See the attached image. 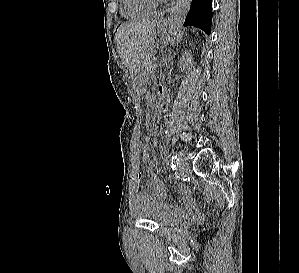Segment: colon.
I'll return each instance as SVG.
<instances>
[{
	"label": "colon",
	"instance_id": "5ec220e1",
	"mask_svg": "<svg viewBox=\"0 0 299 273\" xmlns=\"http://www.w3.org/2000/svg\"><path fill=\"white\" fill-rule=\"evenodd\" d=\"M149 145H150V138L147 135H145L142 138V148H147V147H149ZM196 218L201 221L204 219V215L202 213H200L199 211H197Z\"/></svg>",
	"mask_w": 299,
	"mask_h": 273
}]
</instances>
